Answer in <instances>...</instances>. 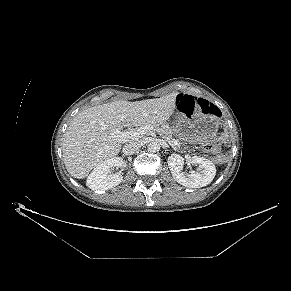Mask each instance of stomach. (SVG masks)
I'll return each mask as SVG.
<instances>
[{"mask_svg": "<svg viewBox=\"0 0 291 291\" xmlns=\"http://www.w3.org/2000/svg\"><path fill=\"white\" fill-rule=\"evenodd\" d=\"M220 119L209 114L187 118L176 114L172 124L186 139L202 141L212 137L219 126Z\"/></svg>", "mask_w": 291, "mask_h": 291, "instance_id": "0dacf381", "label": "stomach"}]
</instances>
